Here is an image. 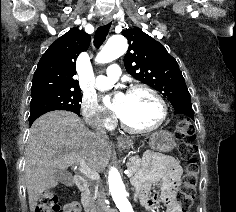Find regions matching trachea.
<instances>
[{
  "label": "trachea",
  "instance_id": "3493384b",
  "mask_svg": "<svg viewBox=\"0 0 236 212\" xmlns=\"http://www.w3.org/2000/svg\"><path fill=\"white\" fill-rule=\"evenodd\" d=\"M110 26H111V23H108L106 25L100 26L97 29V32L94 37V46L96 48H99L106 40V37H107L109 30H110Z\"/></svg>",
  "mask_w": 236,
  "mask_h": 212
}]
</instances>
